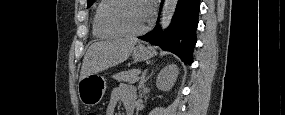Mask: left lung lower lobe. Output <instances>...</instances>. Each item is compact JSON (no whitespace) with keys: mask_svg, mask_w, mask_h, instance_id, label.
Listing matches in <instances>:
<instances>
[{"mask_svg":"<svg viewBox=\"0 0 285 115\" xmlns=\"http://www.w3.org/2000/svg\"><path fill=\"white\" fill-rule=\"evenodd\" d=\"M162 4L163 0L160 8ZM199 10V0H179L172 22L165 32L157 25L152 31L138 38L148 41L152 45H158L165 51H171L185 64H191L196 44Z\"/></svg>","mask_w":285,"mask_h":115,"instance_id":"obj_1","label":"left lung lower lobe"}]
</instances>
